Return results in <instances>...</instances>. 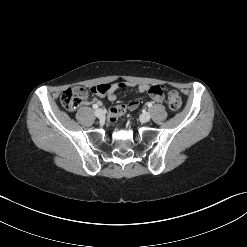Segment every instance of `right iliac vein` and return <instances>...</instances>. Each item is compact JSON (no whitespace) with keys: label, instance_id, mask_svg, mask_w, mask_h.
Here are the masks:
<instances>
[{"label":"right iliac vein","instance_id":"1","mask_svg":"<svg viewBox=\"0 0 247 247\" xmlns=\"http://www.w3.org/2000/svg\"><path fill=\"white\" fill-rule=\"evenodd\" d=\"M95 116L97 117V118H103L104 117V111L102 110V109H97L96 111H95Z\"/></svg>","mask_w":247,"mask_h":247}]
</instances>
